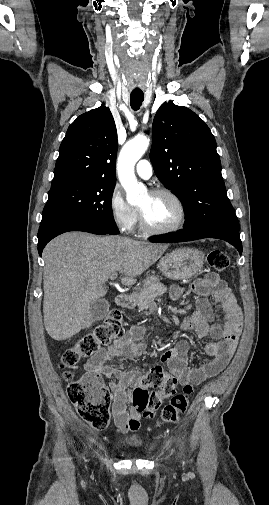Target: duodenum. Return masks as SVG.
Masks as SVG:
<instances>
[{
  "label": "duodenum",
  "mask_w": 269,
  "mask_h": 505,
  "mask_svg": "<svg viewBox=\"0 0 269 505\" xmlns=\"http://www.w3.org/2000/svg\"><path fill=\"white\" fill-rule=\"evenodd\" d=\"M116 304L122 308H130L134 305L133 298L130 294H120L115 299Z\"/></svg>",
  "instance_id": "410a0bca"
}]
</instances>
